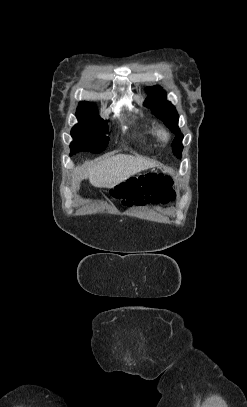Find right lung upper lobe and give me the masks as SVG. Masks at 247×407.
<instances>
[{
    "mask_svg": "<svg viewBox=\"0 0 247 407\" xmlns=\"http://www.w3.org/2000/svg\"><path fill=\"white\" fill-rule=\"evenodd\" d=\"M90 106H94V104L83 101V102H80L78 107H90Z\"/></svg>",
    "mask_w": 247,
    "mask_h": 407,
    "instance_id": "cb5924a9",
    "label": "right lung upper lobe"
}]
</instances>
